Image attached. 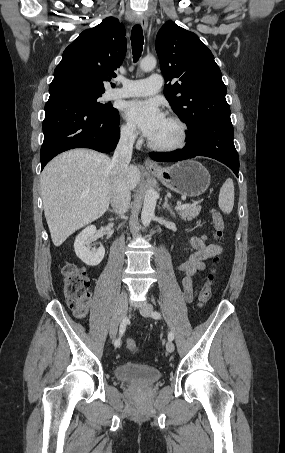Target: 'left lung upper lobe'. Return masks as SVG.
Returning a JSON list of instances; mask_svg holds the SVG:
<instances>
[{"mask_svg": "<svg viewBox=\"0 0 285 453\" xmlns=\"http://www.w3.org/2000/svg\"><path fill=\"white\" fill-rule=\"evenodd\" d=\"M155 47L169 82L164 86L165 97L188 128L205 121L231 122L221 71L196 34L167 22L157 34ZM173 79L177 81L171 85Z\"/></svg>", "mask_w": 285, "mask_h": 453, "instance_id": "5c2ea615", "label": "left lung upper lobe"}]
</instances>
